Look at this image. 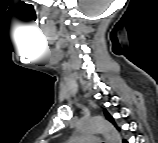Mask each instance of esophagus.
<instances>
[{"label":"esophagus","instance_id":"34e87169","mask_svg":"<svg viewBox=\"0 0 158 143\" xmlns=\"http://www.w3.org/2000/svg\"><path fill=\"white\" fill-rule=\"evenodd\" d=\"M102 142L105 143V140L103 139Z\"/></svg>","mask_w":158,"mask_h":143}]
</instances>
